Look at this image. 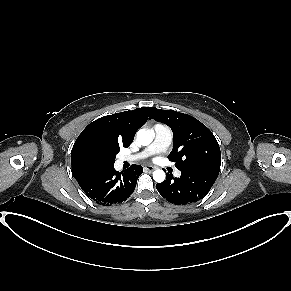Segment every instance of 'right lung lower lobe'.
<instances>
[{
    "instance_id": "right-lung-lower-lobe-1",
    "label": "right lung lower lobe",
    "mask_w": 291,
    "mask_h": 291,
    "mask_svg": "<svg viewBox=\"0 0 291 291\" xmlns=\"http://www.w3.org/2000/svg\"><path fill=\"white\" fill-rule=\"evenodd\" d=\"M142 172L143 168L140 165H132L123 173L111 167L92 173L78 183L85 194L96 203L110 206L129 198Z\"/></svg>"
}]
</instances>
